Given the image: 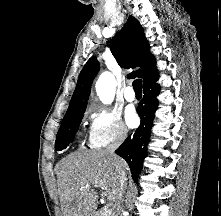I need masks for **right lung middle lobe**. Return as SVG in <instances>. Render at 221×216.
Here are the masks:
<instances>
[{
  "instance_id": "dd1d6c3e",
  "label": "right lung middle lobe",
  "mask_w": 221,
  "mask_h": 216,
  "mask_svg": "<svg viewBox=\"0 0 221 216\" xmlns=\"http://www.w3.org/2000/svg\"><path fill=\"white\" fill-rule=\"evenodd\" d=\"M84 112L85 110L63 118L55 141L56 150L65 149L74 140L75 132L78 130Z\"/></svg>"
}]
</instances>
